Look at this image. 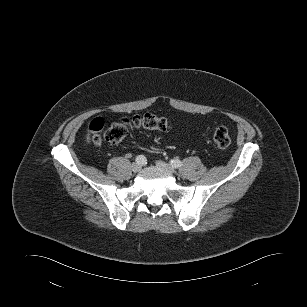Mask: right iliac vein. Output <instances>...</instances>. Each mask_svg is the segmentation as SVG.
Here are the masks:
<instances>
[{"label":"right iliac vein","mask_w":307,"mask_h":307,"mask_svg":"<svg viewBox=\"0 0 307 307\" xmlns=\"http://www.w3.org/2000/svg\"><path fill=\"white\" fill-rule=\"evenodd\" d=\"M141 168H142V166H141L140 163L135 162V163L132 164V171L135 172V173L139 172L141 170Z\"/></svg>","instance_id":"1"}]
</instances>
